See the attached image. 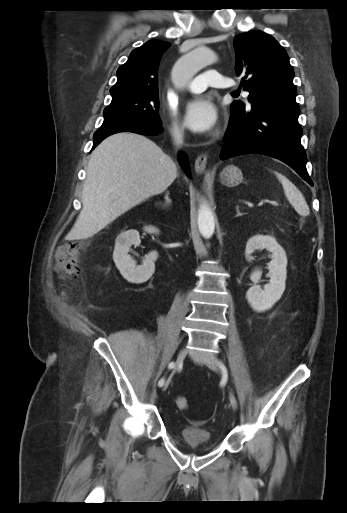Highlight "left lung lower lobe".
<instances>
[{"label": "left lung lower lobe", "mask_w": 347, "mask_h": 513, "mask_svg": "<svg viewBox=\"0 0 347 513\" xmlns=\"http://www.w3.org/2000/svg\"><path fill=\"white\" fill-rule=\"evenodd\" d=\"M299 106L294 100L264 99L251 102V111L231 107L229 125L222 145V160L241 154H262L293 168L313 185L306 169L301 145Z\"/></svg>", "instance_id": "left-lung-lower-lobe-1"}]
</instances>
